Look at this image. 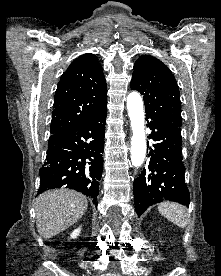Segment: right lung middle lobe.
<instances>
[{
    "label": "right lung middle lobe",
    "instance_id": "dd1d6c3e",
    "mask_svg": "<svg viewBox=\"0 0 221 276\" xmlns=\"http://www.w3.org/2000/svg\"><path fill=\"white\" fill-rule=\"evenodd\" d=\"M57 138H49V145L53 144Z\"/></svg>",
    "mask_w": 221,
    "mask_h": 276
}]
</instances>
